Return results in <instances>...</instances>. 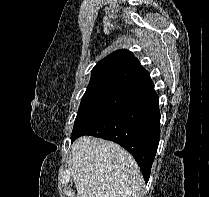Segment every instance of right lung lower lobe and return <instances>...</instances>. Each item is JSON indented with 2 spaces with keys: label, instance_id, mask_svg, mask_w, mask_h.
Returning a JSON list of instances; mask_svg holds the SVG:
<instances>
[{
  "label": "right lung lower lobe",
  "instance_id": "right-lung-lower-lobe-1",
  "mask_svg": "<svg viewBox=\"0 0 209 197\" xmlns=\"http://www.w3.org/2000/svg\"><path fill=\"white\" fill-rule=\"evenodd\" d=\"M159 124V98L152 87L72 133L71 140L92 135L120 144L133 155L147 182L158 148Z\"/></svg>",
  "mask_w": 209,
  "mask_h": 197
}]
</instances>
